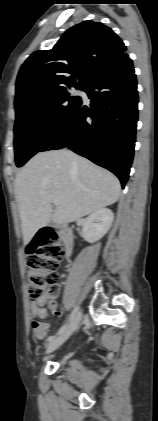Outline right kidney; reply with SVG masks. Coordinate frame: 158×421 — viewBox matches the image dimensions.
<instances>
[{
	"label": "right kidney",
	"instance_id": "obj_1",
	"mask_svg": "<svg viewBox=\"0 0 158 421\" xmlns=\"http://www.w3.org/2000/svg\"><path fill=\"white\" fill-rule=\"evenodd\" d=\"M113 220L114 214L108 208L91 213L83 223V238L89 243L98 241L108 232Z\"/></svg>",
	"mask_w": 158,
	"mask_h": 421
}]
</instances>
